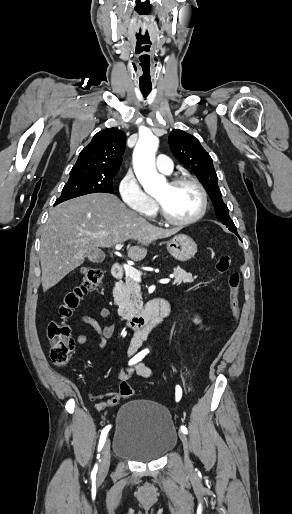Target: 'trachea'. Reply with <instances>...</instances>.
<instances>
[{
  "label": "trachea",
  "mask_w": 292,
  "mask_h": 514,
  "mask_svg": "<svg viewBox=\"0 0 292 514\" xmlns=\"http://www.w3.org/2000/svg\"><path fill=\"white\" fill-rule=\"evenodd\" d=\"M150 92H151V90L141 89V93L143 94L144 98H146L149 95Z\"/></svg>",
  "instance_id": "1"
}]
</instances>
